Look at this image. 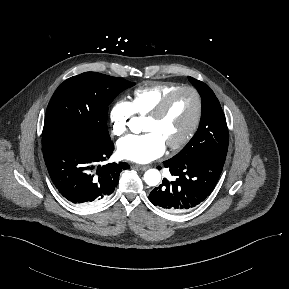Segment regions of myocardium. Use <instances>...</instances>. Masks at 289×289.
<instances>
[{
    "mask_svg": "<svg viewBox=\"0 0 289 289\" xmlns=\"http://www.w3.org/2000/svg\"><path fill=\"white\" fill-rule=\"evenodd\" d=\"M183 91H189L194 95L196 99V112L193 122L188 131L184 134V136L174 143L167 144V147L171 150H177L184 147L193 138L199 128L203 114V101L199 91L192 86H180L167 94L162 99V101L155 107V109L146 116V118L153 120L160 119L168 110L174 97Z\"/></svg>",
    "mask_w": 289,
    "mask_h": 289,
    "instance_id": "1",
    "label": "myocardium"
}]
</instances>
